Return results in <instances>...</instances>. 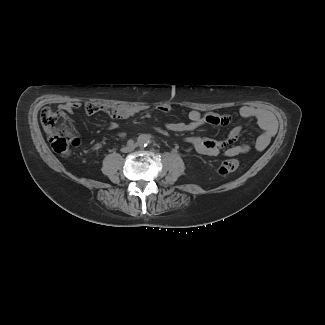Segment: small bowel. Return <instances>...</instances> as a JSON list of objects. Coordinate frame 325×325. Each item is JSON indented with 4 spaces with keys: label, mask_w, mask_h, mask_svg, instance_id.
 <instances>
[{
    "label": "small bowel",
    "mask_w": 325,
    "mask_h": 325,
    "mask_svg": "<svg viewBox=\"0 0 325 325\" xmlns=\"http://www.w3.org/2000/svg\"><path fill=\"white\" fill-rule=\"evenodd\" d=\"M80 107V103H60L57 106V111L63 114V119L66 122H71L74 119L72 113ZM105 112L113 120H122L131 118L144 111L142 106H107L101 107L96 104L89 103L85 110L88 114H94L100 109ZM156 110L163 114H168L173 111V107L167 103H161L156 106ZM189 122H166L164 127L166 130L175 133L190 132L198 129L203 125L228 126L234 118L231 115H217L213 113H202L198 110L183 111ZM238 115L244 119H253L257 122L262 130V133L255 139L252 146L237 143L241 136V126L233 127L229 133L222 138H205L200 136H191L186 139V142L199 153L215 155L225 154L227 156H236L246 153L252 147L256 151H263L270 143L273 137L276 125L273 116L266 110L258 107L244 105L238 110ZM108 129L112 131L119 140L125 139L126 135L120 130L119 125L115 121L108 124Z\"/></svg>",
    "instance_id": "c3829d8e"
}]
</instances>
